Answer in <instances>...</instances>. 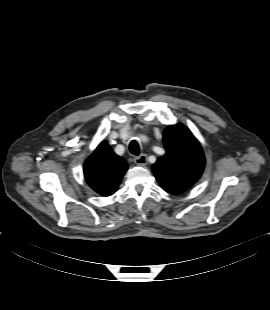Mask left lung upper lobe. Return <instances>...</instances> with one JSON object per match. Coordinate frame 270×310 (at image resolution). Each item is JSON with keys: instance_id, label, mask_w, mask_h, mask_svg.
Listing matches in <instances>:
<instances>
[{"instance_id": "left-lung-upper-lobe-1", "label": "left lung upper lobe", "mask_w": 270, "mask_h": 310, "mask_svg": "<svg viewBox=\"0 0 270 310\" xmlns=\"http://www.w3.org/2000/svg\"><path fill=\"white\" fill-rule=\"evenodd\" d=\"M163 139L166 154L158 158L153 171L165 191L180 194L200 178L205 157L197 139L182 124L169 126Z\"/></svg>"}]
</instances>
